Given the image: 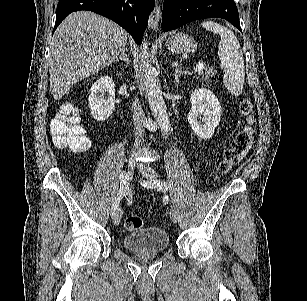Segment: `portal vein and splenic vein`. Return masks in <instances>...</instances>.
Listing matches in <instances>:
<instances>
[{"label":"portal vein and splenic vein","mask_w":307,"mask_h":301,"mask_svg":"<svg viewBox=\"0 0 307 301\" xmlns=\"http://www.w3.org/2000/svg\"><path fill=\"white\" fill-rule=\"evenodd\" d=\"M205 66H204V62H199V64H196L195 66V70H198V72H202V70H204Z\"/></svg>","instance_id":"obj_1"}]
</instances>
